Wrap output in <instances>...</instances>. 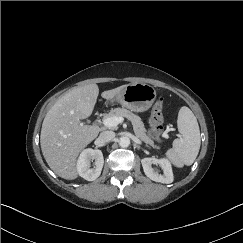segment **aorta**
I'll return each instance as SVG.
<instances>
[{
  "label": "aorta",
  "mask_w": 243,
  "mask_h": 243,
  "mask_svg": "<svg viewBox=\"0 0 243 243\" xmlns=\"http://www.w3.org/2000/svg\"><path fill=\"white\" fill-rule=\"evenodd\" d=\"M119 145L123 148L128 147L130 145V139L126 136H122L118 141Z\"/></svg>",
  "instance_id": "obj_1"
}]
</instances>
